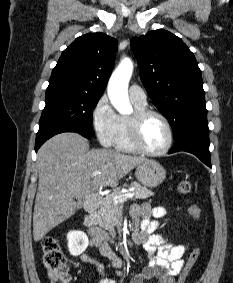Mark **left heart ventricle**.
Returning <instances> with one entry per match:
<instances>
[{
	"label": "left heart ventricle",
	"instance_id": "obj_1",
	"mask_svg": "<svg viewBox=\"0 0 233 283\" xmlns=\"http://www.w3.org/2000/svg\"><path fill=\"white\" fill-rule=\"evenodd\" d=\"M141 138L147 149L159 151L167 144L168 131L161 119L150 117L142 127Z\"/></svg>",
	"mask_w": 233,
	"mask_h": 283
}]
</instances>
